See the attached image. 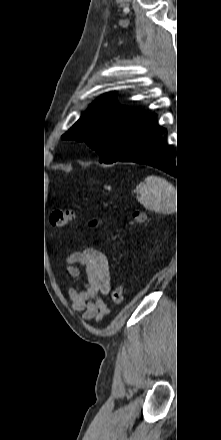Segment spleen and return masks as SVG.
Segmentation results:
<instances>
[{
	"label": "spleen",
	"instance_id": "spleen-1",
	"mask_svg": "<svg viewBox=\"0 0 221 440\" xmlns=\"http://www.w3.org/2000/svg\"><path fill=\"white\" fill-rule=\"evenodd\" d=\"M138 202L147 210L169 214L176 208V188L166 179L151 175L133 191Z\"/></svg>",
	"mask_w": 221,
	"mask_h": 440
}]
</instances>
